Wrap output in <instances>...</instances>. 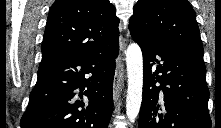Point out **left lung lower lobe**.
<instances>
[{
  "label": "left lung lower lobe",
  "instance_id": "obj_1",
  "mask_svg": "<svg viewBox=\"0 0 221 128\" xmlns=\"http://www.w3.org/2000/svg\"><path fill=\"white\" fill-rule=\"evenodd\" d=\"M131 36L143 53L139 128H211L203 59L166 42Z\"/></svg>",
  "mask_w": 221,
  "mask_h": 128
}]
</instances>
